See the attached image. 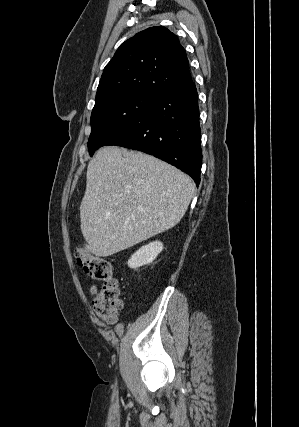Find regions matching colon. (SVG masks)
Returning a JSON list of instances; mask_svg holds the SVG:
<instances>
[{"instance_id": "obj_1", "label": "colon", "mask_w": 299, "mask_h": 427, "mask_svg": "<svg viewBox=\"0 0 299 427\" xmlns=\"http://www.w3.org/2000/svg\"><path fill=\"white\" fill-rule=\"evenodd\" d=\"M79 266L93 279L101 281L102 285L93 302L95 315L107 323H114L123 308L121 285L112 277V267L108 260L96 256L84 247L74 252Z\"/></svg>"}]
</instances>
